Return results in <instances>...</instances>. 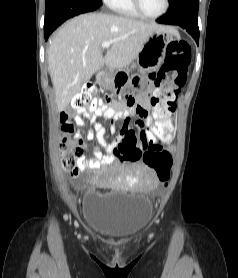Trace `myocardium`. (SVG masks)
I'll return each instance as SVG.
<instances>
[{
	"label": "myocardium",
	"mask_w": 238,
	"mask_h": 278,
	"mask_svg": "<svg viewBox=\"0 0 238 278\" xmlns=\"http://www.w3.org/2000/svg\"><path fill=\"white\" fill-rule=\"evenodd\" d=\"M132 3H133V6H134L135 10L137 11V13L141 17H143L145 19H148V20H158V19L162 18L168 12L169 5H170L169 0H164V9H163V11L159 15L150 16L143 10L140 0H132Z\"/></svg>",
	"instance_id": "myocardium-1"
}]
</instances>
